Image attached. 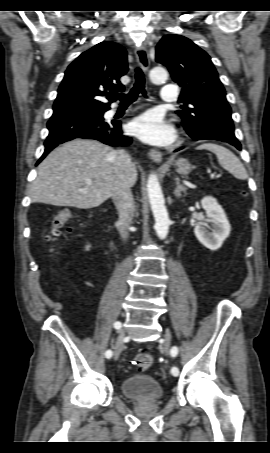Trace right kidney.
Returning a JSON list of instances; mask_svg holds the SVG:
<instances>
[{"mask_svg":"<svg viewBox=\"0 0 270 453\" xmlns=\"http://www.w3.org/2000/svg\"><path fill=\"white\" fill-rule=\"evenodd\" d=\"M90 248V246H87L86 249L88 250Z\"/></svg>","mask_w":270,"mask_h":453,"instance_id":"1","label":"right kidney"}]
</instances>
